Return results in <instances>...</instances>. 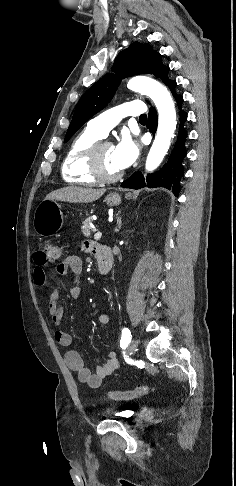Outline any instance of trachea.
<instances>
[{
    "mask_svg": "<svg viewBox=\"0 0 236 486\" xmlns=\"http://www.w3.org/2000/svg\"><path fill=\"white\" fill-rule=\"evenodd\" d=\"M139 119H140V120H146V119H147V116H146V114H144V115H141Z\"/></svg>",
    "mask_w": 236,
    "mask_h": 486,
    "instance_id": "trachea-1",
    "label": "trachea"
}]
</instances>
